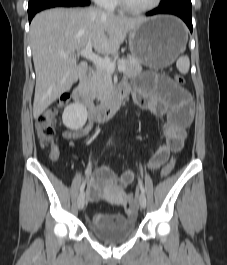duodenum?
<instances>
[{
  "label": "duodenum",
  "instance_id": "1",
  "mask_svg": "<svg viewBox=\"0 0 227 265\" xmlns=\"http://www.w3.org/2000/svg\"><path fill=\"white\" fill-rule=\"evenodd\" d=\"M89 84V72H86L74 86L72 90L73 98L86 108L91 121L97 122L110 119L124 102L127 92L119 87L116 93L109 100L96 105L92 101L89 91Z\"/></svg>",
  "mask_w": 227,
  "mask_h": 265
}]
</instances>
